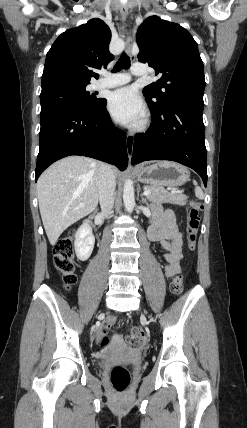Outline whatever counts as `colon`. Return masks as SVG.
<instances>
[{
    "label": "colon",
    "instance_id": "colon-1",
    "mask_svg": "<svg viewBox=\"0 0 247 428\" xmlns=\"http://www.w3.org/2000/svg\"><path fill=\"white\" fill-rule=\"evenodd\" d=\"M202 204L197 200H192L189 205L186 221L187 248L194 251L196 247V237L200 223V212ZM55 268L60 274L66 287L72 286L76 281V262L74 259V241L71 237H64L58 241L54 249L53 257ZM170 290L173 294L179 295L183 291V277L181 274L175 275L170 283ZM116 322V317L110 315L106 318L104 331L111 328ZM144 333L139 327H132L127 343L131 348L141 349L144 345ZM108 343L106 337L102 340V346ZM130 373L123 366L115 367L111 372V383L117 392H123L130 384Z\"/></svg>",
    "mask_w": 247,
    "mask_h": 428
}]
</instances>
